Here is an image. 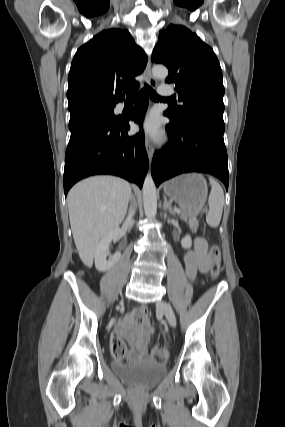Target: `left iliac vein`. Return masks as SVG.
<instances>
[{"instance_id": "4c4485c4", "label": "left iliac vein", "mask_w": 285, "mask_h": 427, "mask_svg": "<svg viewBox=\"0 0 285 427\" xmlns=\"http://www.w3.org/2000/svg\"><path fill=\"white\" fill-rule=\"evenodd\" d=\"M157 308L164 312V314H165L168 322L170 323V325L175 327L176 326V317H175V314H174L172 307L168 303H166L164 301H160L157 303Z\"/></svg>"}]
</instances>
